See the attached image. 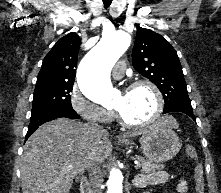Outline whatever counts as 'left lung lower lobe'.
<instances>
[{
    "label": "left lung lower lobe",
    "instance_id": "left-lung-lower-lobe-1",
    "mask_svg": "<svg viewBox=\"0 0 221 193\" xmlns=\"http://www.w3.org/2000/svg\"><path fill=\"white\" fill-rule=\"evenodd\" d=\"M170 112H182L190 116L194 121H196V118L193 114V109L191 104H183V105H175L170 108L164 109V114L165 113H170Z\"/></svg>",
    "mask_w": 221,
    "mask_h": 193
}]
</instances>
